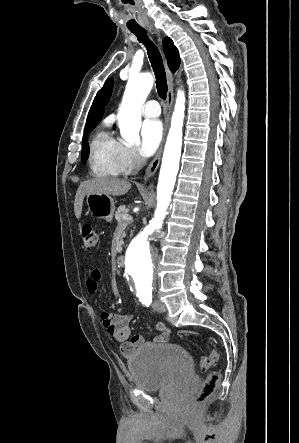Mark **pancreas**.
<instances>
[{
    "label": "pancreas",
    "instance_id": "cf45deb5",
    "mask_svg": "<svg viewBox=\"0 0 299 443\" xmlns=\"http://www.w3.org/2000/svg\"><path fill=\"white\" fill-rule=\"evenodd\" d=\"M128 212H129V209L126 208L124 205L118 207L117 211L115 212V219L117 220V222L129 224L131 222V220L126 221L123 219V216L128 215Z\"/></svg>",
    "mask_w": 299,
    "mask_h": 443
}]
</instances>
